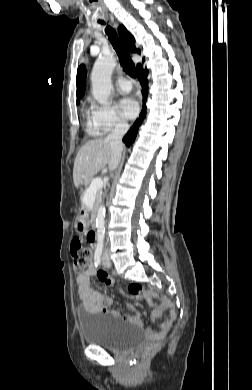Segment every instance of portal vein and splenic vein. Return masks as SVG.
Instances as JSON below:
<instances>
[{"mask_svg": "<svg viewBox=\"0 0 252 390\" xmlns=\"http://www.w3.org/2000/svg\"><path fill=\"white\" fill-rule=\"evenodd\" d=\"M102 186H103V181L101 178H96L92 181L84 197L85 204H89L92 202L93 197L95 196L98 190L102 189Z\"/></svg>", "mask_w": 252, "mask_h": 390, "instance_id": "portal-vein-and-splenic-vein-1", "label": "portal vein and splenic vein"}]
</instances>
